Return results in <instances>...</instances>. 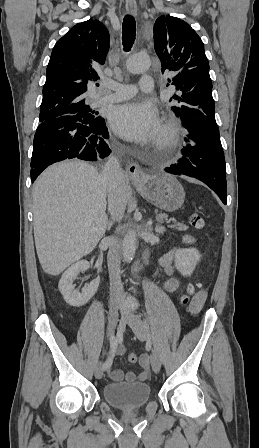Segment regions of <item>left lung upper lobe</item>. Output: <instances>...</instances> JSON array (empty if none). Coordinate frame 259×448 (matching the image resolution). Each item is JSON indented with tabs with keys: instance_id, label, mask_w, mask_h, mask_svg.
<instances>
[{
	"instance_id": "obj_1",
	"label": "left lung upper lobe",
	"mask_w": 259,
	"mask_h": 448,
	"mask_svg": "<svg viewBox=\"0 0 259 448\" xmlns=\"http://www.w3.org/2000/svg\"><path fill=\"white\" fill-rule=\"evenodd\" d=\"M154 48L161 61L162 73L175 72L167 86L179 92L170 99L179 103L171 109L180 117L188 109L214 114L212 80L204 44L185 21L173 16H160L154 24Z\"/></svg>"
}]
</instances>
